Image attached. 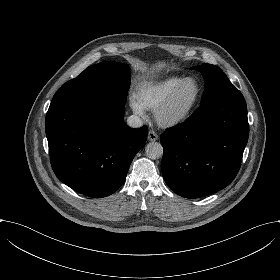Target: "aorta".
Returning <instances> with one entry per match:
<instances>
[{
  "instance_id": "1",
  "label": "aorta",
  "mask_w": 280,
  "mask_h": 280,
  "mask_svg": "<svg viewBox=\"0 0 280 280\" xmlns=\"http://www.w3.org/2000/svg\"><path fill=\"white\" fill-rule=\"evenodd\" d=\"M145 153L150 159H158L163 155V147L158 142H150L145 148Z\"/></svg>"
}]
</instances>
